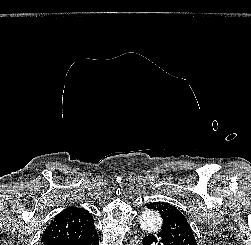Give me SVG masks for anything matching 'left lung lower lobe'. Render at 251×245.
<instances>
[{
	"instance_id": "left-lung-lower-lobe-1",
	"label": "left lung lower lobe",
	"mask_w": 251,
	"mask_h": 245,
	"mask_svg": "<svg viewBox=\"0 0 251 245\" xmlns=\"http://www.w3.org/2000/svg\"><path fill=\"white\" fill-rule=\"evenodd\" d=\"M144 245H152L157 243L158 245H180L175 242L168 234L157 233L155 235H148L143 238Z\"/></svg>"
}]
</instances>
